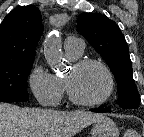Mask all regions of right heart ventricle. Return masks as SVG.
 <instances>
[{"instance_id":"e07e8e85","label":"right heart ventricle","mask_w":144,"mask_h":137,"mask_svg":"<svg viewBox=\"0 0 144 137\" xmlns=\"http://www.w3.org/2000/svg\"><path fill=\"white\" fill-rule=\"evenodd\" d=\"M66 55H67V57H68L70 60H75V59H77V58L79 57V55L73 54V53H71V52H69V51H67V50H66ZM58 79H59V81H60V83H61V85H62V87H63V90H64L63 80H62L61 78H59V77H58Z\"/></svg>"}]
</instances>
